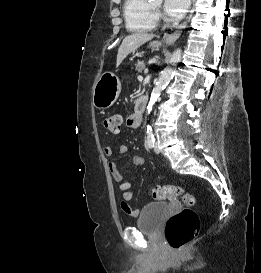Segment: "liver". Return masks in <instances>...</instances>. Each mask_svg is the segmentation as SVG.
Wrapping results in <instances>:
<instances>
[{
  "mask_svg": "<svg viewBox=\"0 0 261 273\" xmlns=\"http://www.w3.org/2000/svg\"><path fill=\"white\" fill-rule=\"evenodd\" d=\"M154 36H155L154 34L142 32L133 33L131 35L126 36L118 49L116 65L119 66L130 53L135 51L137 48H139L147 41L153 39Z\"/></svg>",
  "mask_w": 261,
  "mask_h": 273,
  "instance_id": "6515ba94",
  "label": "liver"
}]
</instances>
